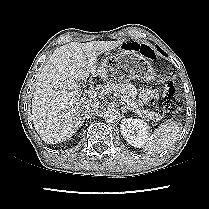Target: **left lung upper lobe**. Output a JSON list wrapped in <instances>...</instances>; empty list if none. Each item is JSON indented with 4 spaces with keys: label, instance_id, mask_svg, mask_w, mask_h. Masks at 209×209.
Masks as SVG:
<instances>
[{
    "label": "left lung upper lobe",
    "instance_id": "obj_1",
    "mask_svg": "<svg viewBox=\"0 0 209 209\" xmlns=\"http://www.w3.org/2000/svg\"><path fill=\"white\" fill-rule=\"evenodd\" d=\"M158 48V50L161 52V53H163V51L159 48V47H157Z\"/></svg>",
    "mask_w": 209,
    "mask_h": 209
}]
</instances>
